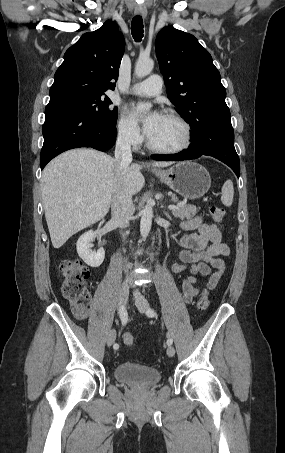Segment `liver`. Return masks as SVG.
<instances>
[{"label":"liver","instance_id":"1","mask_svg":"<svg viewBox=\"0 0 285 453\" xmlns=\"http://www.w3.org/2000/svg\"><path fill=\"white\" fill-rule=\"evenodd\" d=\"M172 162H154L167 167ZM142 166H120L111 156L90 148L67 151L43 170L41 192L51 242L58 249L80 230L106 216L113 192L138 193L145 184Z\"/></svg>","mask_w":285,"mask_h":453}]
</instances>
